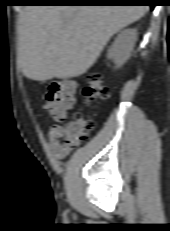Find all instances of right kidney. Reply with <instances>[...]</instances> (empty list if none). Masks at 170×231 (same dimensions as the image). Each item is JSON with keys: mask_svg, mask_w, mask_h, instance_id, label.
Listing matches in <instances>:
<instances>
[{"mask_svg": "<svg viewBox=\"0 0 170 231\" xmlns=\"http://www.w3.org/2000/svg\"><path fill=\"white\" fill-rule=\"evenodd\" d=\"M136 40V29L123 30L108 50L107 57L112 59L118 67L122 66L130 57Z\"/></svg>", "mask_w": 170, "mask_h": 231, "instance_id": "obj_1", "label": "right kidney"}]
</instances>
